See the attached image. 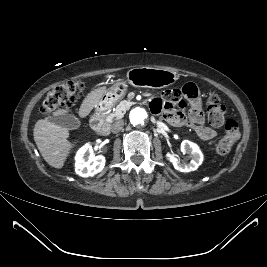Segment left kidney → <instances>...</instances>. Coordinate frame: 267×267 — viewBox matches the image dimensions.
<instances>
[{
  "instance_id": "5707ae66",
  "label": "left kidney",
  "mask_w": 267,
  "mask_h": 267,
  "mask_svg": "<svg viewBox=\"0 0 267 267\" xmlns=\"http://www.w3.org/2000/svg\"><path fill=\"white\" fill-rule=\"evenodd\" d=\"M181 149L183 152L190 153V163L181 162L175 155L170 153L166 154V158L173 164L174 168L180 172H191L196 170L203 161V154L198 145L189 140H183Z\"/></svg>"
}]
</instances>
